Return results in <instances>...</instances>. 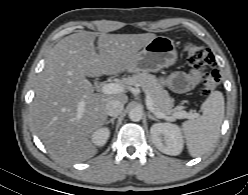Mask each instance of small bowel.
<instances>
[{
    "instance_id": "c3829d8e",
    "label": "small bowel",
    "mask_w": 248,
    "mask_h": 195,
    "mask_svg": "<svg viewBox=\"0 0 248 195\" xmlns=\"http://www.w3.org/2000/svg\"><path fill=\"white\" fill-rule=\"evenodd\" d=\"M202 77L200 70L190 72H175L166 77L163 81L176 92H185L192 89L199 83Z\"/></svg>"
}]
</instances>
